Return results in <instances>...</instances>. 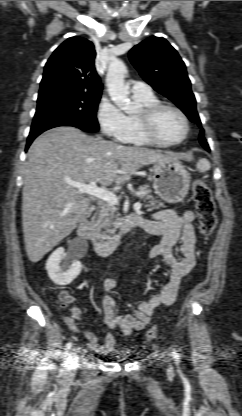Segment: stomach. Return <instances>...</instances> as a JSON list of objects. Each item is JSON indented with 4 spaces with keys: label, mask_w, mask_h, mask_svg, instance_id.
<instances>
[{
    "label": "stomach",
    "mask_w": 242,
    "mask_h": 416,
    "mask_svg": "<svg viewBox=\"0 0 242 416\" xmlns=\"http://www.w3.org/2000/svg\"><path fill=\"white\" fill-rule=\"evenodd\" d=\"M152 179L155 193L168 203L182 201L190 187V174L177 160L154 163Z\"/></svg>",
    "instance_id": "obj_1"
}]
</instances>
